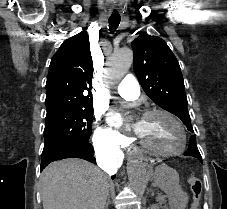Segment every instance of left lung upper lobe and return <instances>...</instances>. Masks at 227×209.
I'll use <instances>...</instances> for the list:
<instances>
[{
  "label": "left lung upper lobe",
  "mask_w": 227,
  "mask_h": 209,
  "mask_svg": "<svg viewBox=\"0 0 227 209\" xmlns=\"http://www.w3.org/2000/svg\"><path fill=\"white\" fill-rule=\"evenodd\" d=\"M131 46L134 72L144 92L161 108L180 118L193 132L181 69L166 42L159 37L142 34L132 41ZM184 155L193 156L202 163L195 135L190 137Z\"/></svg>",
  "instance_id": "obj_1"
}]
</instances>
